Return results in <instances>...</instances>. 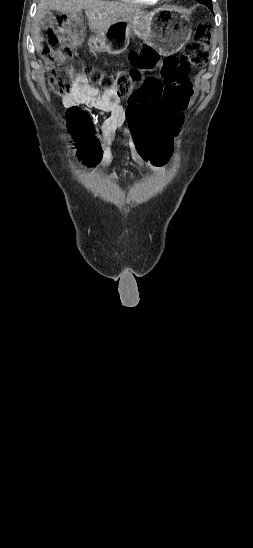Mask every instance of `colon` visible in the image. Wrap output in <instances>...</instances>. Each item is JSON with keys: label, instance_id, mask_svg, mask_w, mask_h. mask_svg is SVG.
Returning <instances> with one entry per match:
<instances>
[{"label": "colon", "instance_id": "1", "mask_svg": "<svg viewBox=\"0 0 253 548\" xmlns=\"http://www.w3.org/2000/svg\"><path fill=\"white\" fill-rule=\"evenodd\" d=\"M59 32L52 34V42L43 50V59L49 71V89L57 95L68 94L78 75L105 91L116 89L127 106L126 125L136 141L138 155L150 159L152 166H165L170 155L171 139L179 137L178 123L192 95V77L189 73L204 66L209 57L210 30L200 26L177 58L153 60L156 55L143 48L129 57L131 69L126 72H106L81 62L65 66L75 57L74 37H80L82 28H71L67 17H60ZM60 36L62 41L59 39ZM143 71L144 77L140 76ZM157 71V72H156ZM137 80L140 86L133 91ZM74 126L78 156L85 162H95L101 154V144L92 131L88 115L79 107L68 110Z\"/></svg>", "mask_w": 253, "mask_h": 548}]
</instances>
